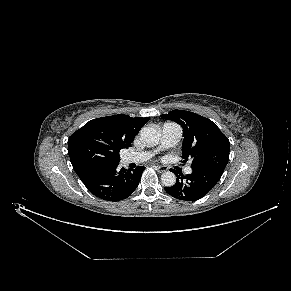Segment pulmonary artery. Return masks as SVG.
Wrapping results in <instances>:
<instances>
[{"instance_id": "obj_1", "label": "pulmonary artery", "mask_w": 291, "mask_h": 291, "mask_svg": "<svg viewBox=\"0 0 291 291\" xmlns=\"http://www.w3.org/2000/svg\"><path fill=\"white\" fill-rule=\"evenodd\" d=\"M182 132L183 131L180 125L167 122L162 126L161 140L159 147L156 150L128 153L123 157L122 160L126 164L146 161L150 159L155 154V152L175 146L180 140ZM185 173L191 174L192 169L187 167L185 169Z\"/></svg>"}]
</instances>
